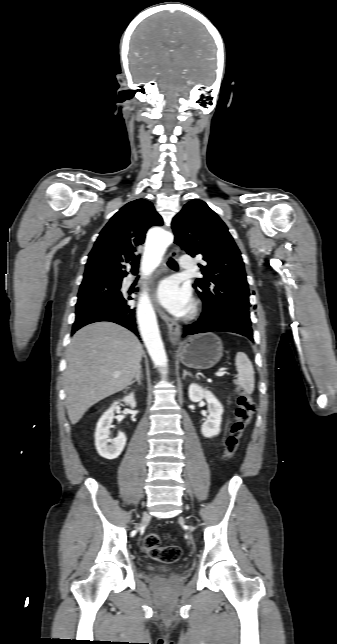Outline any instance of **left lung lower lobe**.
<instances>
[{
	"label": "left lung lower lobe",
	"mask_w": 337,
	"mask_h": 644,
	"mask_svg": "<svg viewBox=\"0 0 337 644\" xmlns=\"http://www.w3.org/2000/svg\"><path fill=\"white\" fill-rule=\"evenodd\" d=\"M214 331L237 333L254 341L251 327L225 314L205 311L198 321L185 326L184 336Z\"/></svg>",
	"instance_id": "0a47b994"
}]
</instances>
